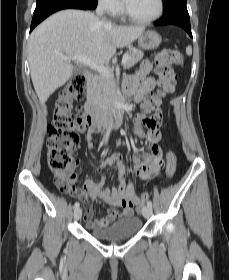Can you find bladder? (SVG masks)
<instances>
[{"label": "bladder", "instance_id": "obj_1", "mask_svg": "<svg viewBox=\"0 0 229 280\" xmlns=\"http://www.w3.org/2000/svg\"><path fill=\"white\" fill-rule=\"evenodd\" d=\"M142 220L136 216L121 218L105 228L89 229L90 234L98 239L115 241L136 236L141 227Z\"/></svg>", "mask_w": 229, "mask_h": 280}]
</instances>
